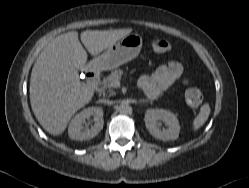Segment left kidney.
I'll return each mask as SVG.
<instances>
[{
  "instance_id": "obj_1",
  "label": "left kidney",
  "mask_w": 249,
  "mask_h": 188,
  "mask_svg": "<svg viewBox=\"0 0 249 188\" xmlns=\"http://www.w3.org/2000/svg\"><path fill=\"white\" fill-rule=\"evenodd\" d=\"M145 125L152 136L160 140H175L179 136L180 125L176 115L164 109H148L145 113ZM167 125V129L160 130L159 122Z\"/></svg>"
}]
</instances>
